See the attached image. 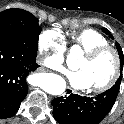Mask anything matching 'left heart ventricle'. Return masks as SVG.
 Here are the masks:
<instances>
[{
  "mask_svg": "<svg viewBox=\"0 0 124 124\" xmlns=\"http://www.w3.org/2000/svg\"><path fill=\"white\" fill-rule=\"evenodd\" d=\"M76 69L86 72L90 88L105 84L114 71V58L111 52H105L95 59L81 58Z\"/></svg>",
  "mask_w": 124,
  "mask_h": 124,
  "instance_id": "obj_1",
  "label": "left heart ventricle"
}]
</instances>
